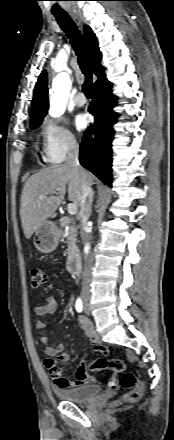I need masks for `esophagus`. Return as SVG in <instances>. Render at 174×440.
<instances>
[{
	"label": "esophagus",
	"mask_w": 174,
	"mask_h": 440,
	"mask_svg": "<svg viewBox=\"0 0 174 440\" xmlns=\"http://www.w3.org/2000/svg\"><path fill=\"white\" fill-rule=\"evenodd\" d=\"M73 19L76 21L78 25L81 24V20L77 16H73Z\"/></svg>",
	"instance_id": "1"
}]
</instances>
